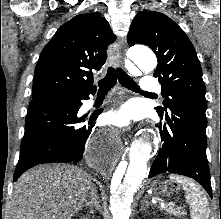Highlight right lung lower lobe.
Wrapping results in <instances>:
<instances>
[{
    "instance_id": "1",
    "label": "right lung lower lobe",
    "mask_w": 221,
    "mask_h": 219,
    "mask_svg": "<svg viewBox=\"0 0 221 219\" xmlns=\"http://www.w3.org/2000/svg\"><path fill=\"white\" fill-rule=\"evenodd\" d=\"M96 90L33 99L25 120V133L21 142L20 157L14 172V181L29 168L43 163L78 162L85 148L98 159L103 147L91 141L95 120L102 112L77 117L82 100ZM87 121L85 125L82 123Z\"/></svg>"
}]
</instances>
